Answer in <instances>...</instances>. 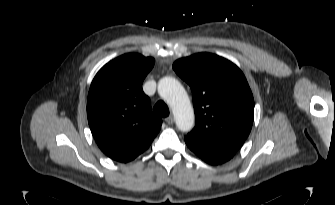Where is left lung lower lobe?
Instances as JSON below:
<instances>
[{
  "mask_svg": "<svg viewBox=\"0 0 335 205\" xmlns=\"http://www.w3.org/2000/svg\"><path fill=\"white\" fill-rule=\"evenodd\" d=\"M184 140L196 155L209 164H222L230 160L237 151L214 148L188 137H185Z\"/></svg>",
  "mask_w": 335,
  "mask_h": 205,
  "instance_id": "0a47b994",
  "label": "left lung lower lobe"
}]
</instances>
